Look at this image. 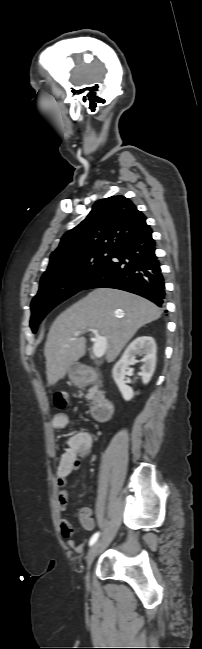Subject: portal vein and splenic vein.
Listing matches in <instances>:
<instances>
[{
  "instance_id": "portal-vein-and-splenic-vein-1",
  "label": "portal vein and splenic vein",
  "mask_w": 202,
  "mask_h": 649,
  "mask_svg": "<svg viewBox=\"0 0 202 649\" xmlns=\"http://www.w3.org/2000/svg\"><path fill=\"white\" fill-rule=\"evenodd\" d=\"M89 331L93 332V334L95 335V338L93 339V353L95 357L100 358L106 351V339L104 336H101L95 329H89ZM81 333L82 332H76L75 336H79Z\"/></svg>"
}]
</instances>
